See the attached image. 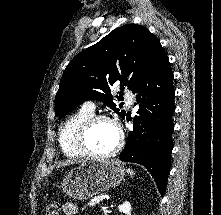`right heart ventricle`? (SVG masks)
<instances>
[{
  "label": "right heart ventricle",
  "instance_id": "obj_1",
  "mask_svg": "<svg viewBox=\"0 0 221 215\" xmlns=\"http://www.w3.org/2000/svg\"><path fill=\"white\" fill-rule=\"evenodd\" d=\"M93 116V112L81 108L70 116L61 127L59 142L64 154L68 157H81L84 153L78 146V133L84 122Z\"/></svg>",
  "mask_w": 221,
  "mask_h": 215
}]
</instances>
